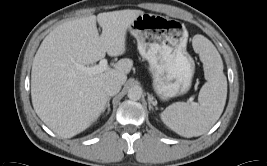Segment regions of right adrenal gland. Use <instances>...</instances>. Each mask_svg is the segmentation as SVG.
Masks as SVG:
<instances>
[{
  "label": "right adrenal gland",
  "instance_id": "right-adrenal-gland-1",
  "mask_svg": "<svg viewBox=\"0 0 267 166\" xmlns=\"http://www.w3.org/2000/svg\"><path fill=\"white\" fill-rule=\"evenodd\" d=\"M110 100H111V97L108 98L107 104L105 106V109H107V114L110 112Z\"/></svg>",
  "mask_w": 267,
  "mask_h": 166
}]
</instances>
